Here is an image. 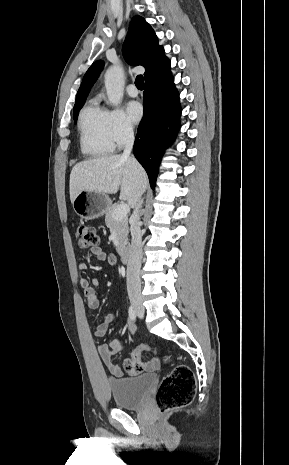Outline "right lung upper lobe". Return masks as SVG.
Listing matches in <instances>:
<instances>
[{
    "label": "right lung upper lobe",
    "mask_w": 289,
    "mask_h": 465,
    "mask_svg": "<svg viewBox=\"0 0 289 465\" xmlns=\"http://www.w3.org/2000/svg\"><path fill=\"white\" fill-rule=\"evenodd\" d=\"M122 52L129 64L141 65L145 68V83L171 74L170 61L165 57L163 47L159 46L154 30L141 16L133 17ZM103 65V61L98 60L87 70L78 90L76 102L86 99Z\"/></svg>",
    "instance_id": "1"
}]
</instances>
